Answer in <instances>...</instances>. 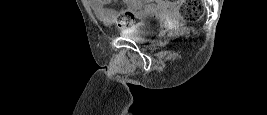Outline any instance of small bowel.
I'll use <instances>...</instances> for the list:
<instances>
[{
    "label": "small bowel",
    "instance_id": "small-bowel-1",
    "mask_svg": "<svg viewBox=\"0 0 267 115\" xmlns=\"http://www.w3.org/2000/svg\"><path fill=\"white\" fill-rule=\"evenodd\" d=\"M110 0H90V6L96 15L103 19L115 18V14L105 8ZM127 6L140 11V14L166 15L178 10L175 3L162 0H125Z\"/></svg>",
    "mask_w": 267,
    "mask_h": 115
}]
</instances>
